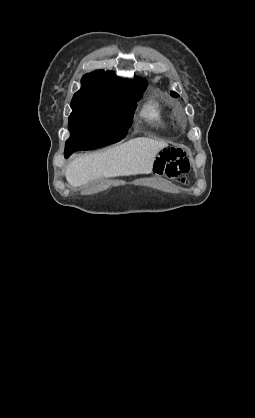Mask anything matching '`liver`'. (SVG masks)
Instances as JSON below:
<instances>
[{
  "label": "liver",
  "mask_w": 255,
  "mask_h": 418,
  "mask_svg": "<svg viewBox=\"0 0 255 418\" xmlns=\"http://www.w3.org/2000/svg\"><path fill=\"white\" fill-rule=\"evenodd\" d=\"M167 146L164 141L138 137L105 152L79 156L66 168L67 182L78 187L100 177L149 174L156 155Z\"/></svg>",
  "instance_id": "6515ba94"
}]
</instances>
